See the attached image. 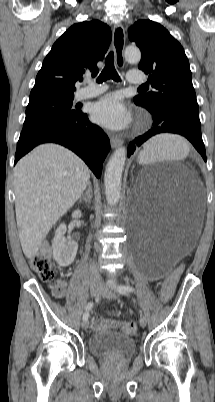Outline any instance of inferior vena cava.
Returning <instances> with one entry per match:
<instances>
[{
    "mask_svg": "<svg viewBox=\"0 0 215 402\" xmlns=\"http://www.w3.org/2000/svg\"><path fill=\"white\" fill-rule=\"evenodd\" d=\"M90 279L93 283L100 282V273L97 265L93 262L90 266Z\"/></svg>",
    "mask_w": 215,
    "mask_h": 402,
    "instance_id": "obj_1",
    "label": "inferior vena cava"
}]
</instances>
